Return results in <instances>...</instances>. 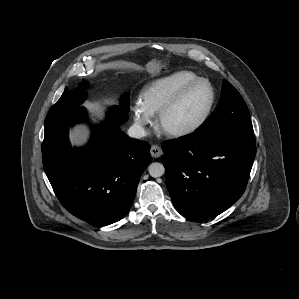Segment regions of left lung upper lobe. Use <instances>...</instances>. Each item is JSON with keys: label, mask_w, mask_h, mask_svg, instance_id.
<instances>
[{"label": "left lung upper lobe", "mask_w": 299, "mask_h": 299, "mask_svg": "<svg viewBox=\"0 0 299 299\" xmlns=\"http://www.w3.org/2000/svg\"><path fill=\"white\" fill-rule=\"evenodd\" d=\"M195 134L208 137L254 135L247 105L228 81H223L218 106Z\"/></svg>", "instance_id": "5c2ea615"}]
</instances>
